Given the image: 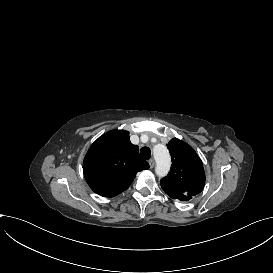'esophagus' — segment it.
<instances>
[{
  "label": "esophagus",
  "mask_w": 273,
  "mask_h": 273,
  "mask_svg": "<svg viewBox=\"0 0 273 273\" xmlns=\"http://www.w3.org/2000/svg\"><path fill=\"white\" fill-rule=\"evenodd\" d=\"M154 165H155V161H154L153 158H151V159L149 160V166H150V168L152 169V168L154 167Z\"/></svg>",
  "instance_id": "1"
}]
</instances>
